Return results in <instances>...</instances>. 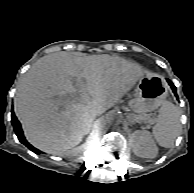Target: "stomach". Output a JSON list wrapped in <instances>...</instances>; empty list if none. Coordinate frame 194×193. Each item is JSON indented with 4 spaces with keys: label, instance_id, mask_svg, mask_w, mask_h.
I'll use <instances>...</instances> for the list:
<instances>
[{
    "label": "stomach",
    "instance_id": "1",
    "mask_svg": "<svg viewBox=\"0 0 194 193\" xmlns=\"http://www.w3.org/2000/svg\"><path fill=\"white\" fill-rule=\"evenodd\" d=\"M136 112L147 113L156 110L167 97L164 79L158 75H145L136 86Z\"/></svg>",
    "mask_w": 194,
    "mask_h": 193
}]
</instances>
